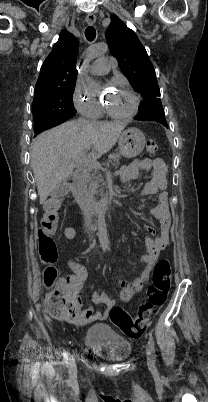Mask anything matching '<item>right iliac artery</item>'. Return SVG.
<instances>
[{
    "label": "right iliac artery",
    "instance_id": "82829eb1",
    "mask_svg": "<svg viewBox=\"0 0 208 402\" xmlns=\"http://www.w3.org/2000/svg\"><path fill=\"white\" fill-rule=\"evenodd\" d=\"M63 355H64V358H65L66 360H68V354H67L66 352H64Z\"/></svg>",
    "mask_w": 208,
    "mask_h": 402
}]
</instances>
